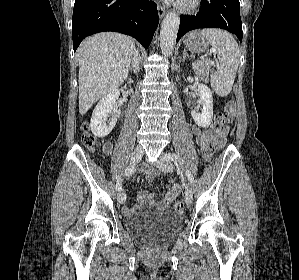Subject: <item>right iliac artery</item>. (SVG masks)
Wrapping results in <instances>:
<instances>
[{"label": "right iliac artery", "mask_w": 299, "mask_h": 280, "mask_svg": "<svg viewBox=\"0 0 299 280\" xmlns=\"http://www.w3.org/2000/svg\"><path fill=\"white\" fill-rule=\"evenodd\" d=\"M134 172H135V168H134V166L131 165V166H128L125 169L124 175L125 176H131ZM116 188L118 189V191H122V180H121V178H119L117 180Z\"/></svg>", "instance_id": "right-iliac-artery-1"}]
</instances>
